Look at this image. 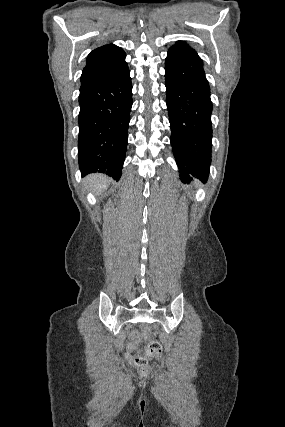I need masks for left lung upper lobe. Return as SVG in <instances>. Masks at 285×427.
<instances>
[{"instance_id":"left-lung-upper-lobe-1","label":"left lung upper lobe","mask_w":285,"mask_h":427,"mask_svg":"<svg viewBox=\"0 0 285 427\" xmlns=\"http://www.w3.org/2000/svg\"><path fill=\"white\" fill-rule=\"evenodd\" d=\"M168 52H188L197 55L195 50L182 41H177L176 45L172 46Z\"/></svg>"}]
</instances>
